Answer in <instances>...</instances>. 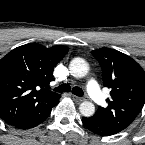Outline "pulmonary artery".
I'll return each mask as SVG.
<instances>
[{
	"mask_svg": "<svg viewBox=\"0 0 145 145\" xmlns=\"http://www.w3.org/2000/svg\"><path fill=\"white\" fill-rule=\"evenodd\" d=\"M87 91L90 95V97L98 104H102L105 102V96L100 91L98 84L95 80H90L87 83Z\"/></svg>",
	"mask_w": 145,
	"mask_h": 145,
	"instance_id": "e3ab8cb5",
	"label": "pulmonary artery"
}]
</instances>
